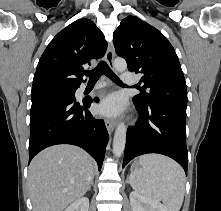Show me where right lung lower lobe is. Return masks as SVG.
Here are the masks:
<instances>
[{"label": "right lung lower lobe", "instance_id": "1", "mask_svg": "<svg viewBox=\"0 0 221 211\" xmlns=\"http://www.w3.org/2000/svg\"><path fill=\"white\" fill-rule=\"evenodd\" d=\"M91 103L92 99L77 102L75 98L64 96L32 103L29 162L49 146L73 144L86 150L100 170L109 136L104 121L94 118L88 111Z\"/></svg>", "mask_w": 221, "mask_h": 211}]
</instances>
